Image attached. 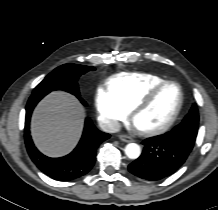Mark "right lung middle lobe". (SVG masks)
<instances>
[{"mask_svg": "<svg viewBox=\"0 0 218 210\" xmlns=\"http://www.w3.org/2000/svg\"><path fill=\"white\" fill-rule=\"evenodd\" d=\"M94 69L91 66L78 64H64L59 66L35 87L32 96L46 95L55 90H64L79 98L78 78L82 74Z\"/></svg>", "mask_w": 218, "mask_h": 210, "instance_id": "1", "label": "right lung middle lobe"}]
</instances>
